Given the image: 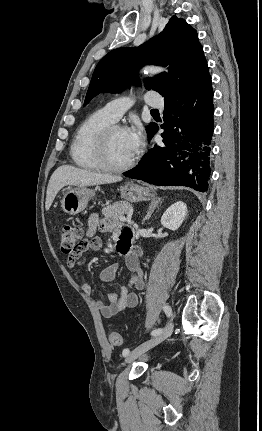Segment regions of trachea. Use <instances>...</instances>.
Returning <instances> with one entry per match:
<instances>
[{
    "instance_id": "obj_1",
    "label": "trachea",
    "mask_w": 262,
    "mask_h": 431,
    "mask_svg": "<svg viewBox=\"0 0 262 431\" xmlns=\"http://www.w3.org/2000/svg\"><path fill=\"white\" fill-rule=\"evenodd\" d=\"M151 113H152V114H159V111H158L157 109H152V110H151Z\"/></svg>"
}]
</instances>
